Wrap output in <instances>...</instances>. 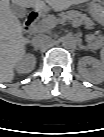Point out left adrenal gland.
<instances>
[{
    "label": "left adrenal gland",
    "instance_id": "left-adrenal-gland-1",
    "mask_svg": "<svg viewBox=\"0 0 104 137\" xmlns=\"http://www.w3.org/2000/svg\"><path fill=\"white\" fill-rule=\"evenodd\" d=\"M79 48H80L81 50H87V47H86V46H83V45H80Z\"/></svg>",
    "mask_w": 104,
    "mask_h": 137
}]
</instances>
